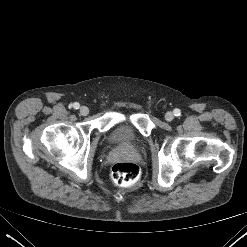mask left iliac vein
I'll return each instance as SVG.
<instances>
[{
    "mask_svg": "<svg viewBox=\"0 0 247 247\" xmlns=\"http://www.w3.org/2000/svg\"><path fill=\"white\" fill-rule=\"evenodd\" d=\"M165 119H166L168 122L172 121V120L174 119V114H173L172 112H167V113L165 114Z\"/></svg>",
    "mask_w": 247,
    "mask_h": 247,
    "instance_id": "left-iliac-vein-1",
    "label": "left iliac vein"
}]
</instances>
